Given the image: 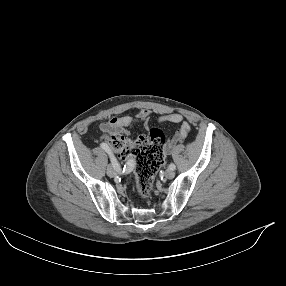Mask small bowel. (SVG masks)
<instances>
[{
  "label": "small bowel",
  "mask_w": 286,
  "mask_h": 286,
  "mask_svg": "<svg viewBox=\"0 0 286 286\" xmlns=\"http://www.w3.org/2000/svg\"><path fill=\"white\" fill-rule=\"evenodd\" d=\"M150 111L147 109H141L135 116L124 115L120 117H111L110 119L100 124V130L102 131L101 139L107 140L110 135L114 134H129V130L137 123H141L145 130L149 127ZM159 123L170 122L179 124V131L169 139L165 151L170 153L177 144L185 140L190 132V125L185 121L184 115L180 113H164L158 118ZM132 161V160H131ZM132 163H128L126 171L131 170Z\"/></svg>",
  "instance_id": "1"
}]
</instances>
